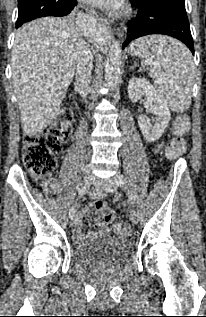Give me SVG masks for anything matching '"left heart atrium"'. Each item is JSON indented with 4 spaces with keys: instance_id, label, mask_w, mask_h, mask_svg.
<instances>
[{
    "instance_id": "39dd6f15",
    "label": "left heart atrium",
    "mask_w": 206,
    "mask_h": 317,
    "mask_svg": "<svg viewBox=\"0 0 206 317\" xmlns=\"http://www.w3.org/2000/svg\"><path fill=\"white\" fill-rule=\"evenodd\" d=\"M105 9H115L121 4V0H83Z\"/></svg>"
}]
</instances>
